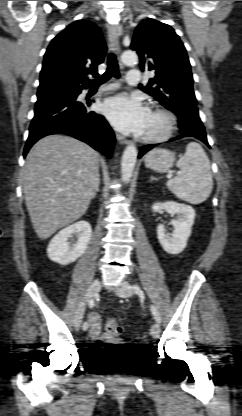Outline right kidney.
<instances>
[{
	"label": "right kidney",
	"instance_id": "1",
	"mask_svg": "<svg viewBox=\"0 0 242 416\" xmlns=\"http://www.w3.org/2000/svg\"><path fill=\"white\" fill-rule=\"evenodd\" d=\"M91 234V225L87 221H79L62 229L48 245L49 259L61 265L76 261L85 253ZM73 236L77 238V241L72 244L68 240Z\"/></svg>",
	"mask_w": 242,
	"mask_h": 416
}]
</instances>
